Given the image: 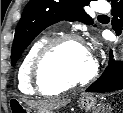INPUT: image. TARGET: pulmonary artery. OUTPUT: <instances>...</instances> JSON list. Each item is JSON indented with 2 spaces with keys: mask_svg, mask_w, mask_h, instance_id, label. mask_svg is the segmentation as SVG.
Here are the masks:
<instances>
[{
  "mask_svg": "<svg viewBox=\"0 0 123 113\" xmlns=\"http://www.w3.org/2000/svg\"><path fill=\"white\" fill-rule=\"evenodd\" d=\"M96 11L99 13H107L109 11V5L107 2H97Z\"/></svg>",
  "mask_w": 123,
  "mask_h": 113,
  "instance_id": "e3ab8cb5",
  "label": "pulmonary artery"
}]
</instances>
